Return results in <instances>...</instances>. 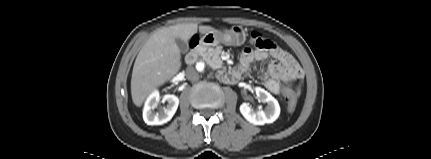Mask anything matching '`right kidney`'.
I'll list each match as a JSON object with an SVG mask.
<instances>
[{
	"label": "right kidney",
	"instance_id": "1",
	"mask_svg": "<svg viewBox=\"0 0 431 159\" xmlns=\"http://www.w3.org/2000/svg\"><path fill=\"white\" fill-rule=\"evenodd\" d=\"M163 102L167 101V106L163 107L159 112H155L160 102V95L158 91H154L146 100L143 109V119L148 125H162L171 120L175 114L179 99L175 95H165L162 99Z\"/></svg>",
	"mask_w": 431,
	"mask_h": 159
}]
</instances>
